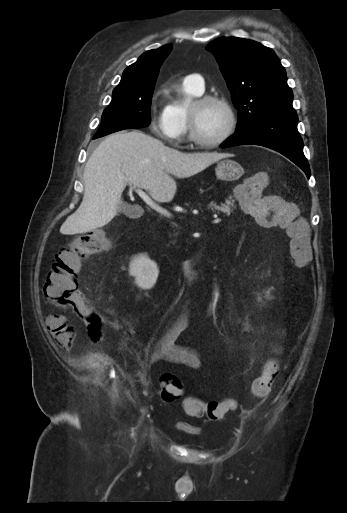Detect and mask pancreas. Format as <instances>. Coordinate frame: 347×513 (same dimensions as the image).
<instances>
[{"label":"pancreas","instance_id":"obj_1","mask_svg":"<svg viewBox=\"0 0 347 513\" xmlns=\"http://www.w3.org/2000/svg\"><path fill=\"white\" fill-rule=\"evenodd\" d=\"M209 207L213 212L217 211L218 214L222 212L223 214H225V216H230V214L233 212V209L235 208L234 200L232 199V197H228L225 200V203H221L220 205L211 202Z\"/></svg>","mask_w":347,"mask_h":513}]
</instances>
